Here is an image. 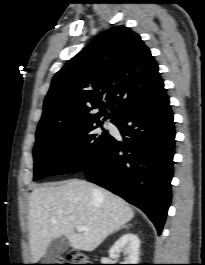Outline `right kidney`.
Wrapping results in <instances>:
<instances>
[{
    "label": "right kidney",
    "mask_w": 205,
    "mask_h": 265,
    "mask_svg": "<svg viewBox=\"0 0 205 265\" xmlns=\"http://www.w3.org/2000/svg\"><path fill=\"white\" fill-rule=\"evenodd\" d=\"M140 240L136 234L126 233L121 236L109 250L111 258H116L120 252L127 256L121 264H138Z\"/></svg>",
    "instance_id": "right-kidney-1"
}]
</instances>
